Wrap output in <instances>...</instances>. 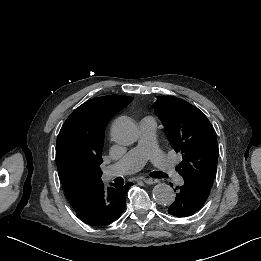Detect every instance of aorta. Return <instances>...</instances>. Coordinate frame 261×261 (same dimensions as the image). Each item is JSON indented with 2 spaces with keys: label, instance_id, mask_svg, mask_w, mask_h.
<instances>
[{
  "label": "aorta",
  "instance_id": "762f6f07",
  "mask_svg": "<svg viewBox=\"0 0 261 261\" xmlns=\"http://www.w3.org/2000/svg\"><path fill=\"white\" fill-rule=\"evenodd\" d=\"M114 141L120 145H130L137 140V126L128 117L116 119L111 128ZM153 198L160 205H171L175 201V192L167 183H158L153 188Z\"/></svg>",
  "mask_w": 261,
  "mask_h": 261
}]
</instances>
